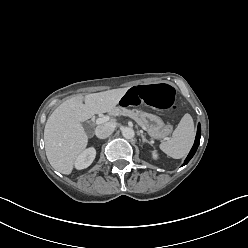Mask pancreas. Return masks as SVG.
I'll return each instance as SVG.
<instances>
[{
  "label": "pancreas",
  "mask_w": 248,
  "mask_h": 248,
  "mask_svg": "<svg viewBox=\"0 0 248 248\" xmlns=\"http://www.w3.org/2000/svg\"><path fill=\"white\" fill-rule=\"evenodd\" d=\"M109 114L112 116H118V115L128 116L134 119L140 126L145 127V123L143 121L142 115L137 110H130L122 107H116L112 109L109 112Z\"/></svg>",
  "instance_id": "obj_1"
}]
</instances>
